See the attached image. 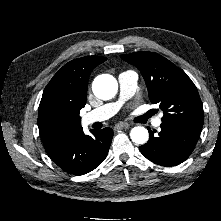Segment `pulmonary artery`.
<instances>
[{
	"instance_id": "e3ab8cb5",
	"label": "pulmonary artery",
	"mask_w": 221,
	"mask_h": 221,
	"mask_svg": "<svg viewBox=\"0 0 221 221\" xmlns=\"http://www.w3.org/2000/svg\"><path fill=\"white\" fill-rule=\"evenodd\" d=\"M137 74L134 71H125L119 74V88L120 95L116 102L104 104L88 113H86L82 121L85 125H89L95 122H100L109 119L115 115L121 108L124 101L131 98L137 88ZM162 123L161 116L154 119L153 125L159 127Z\"/></svg>"
}]
</instances>
